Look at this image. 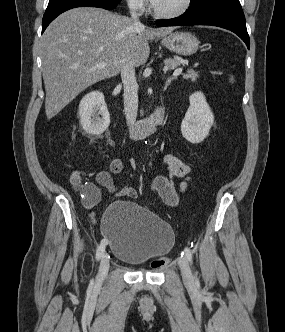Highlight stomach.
Masks as SVG:
<instances>
[{"mask_svg":"<svg viewBox=\"0 0 285 332\" xmlns=\"http://www.w3.org/2000/svg\"><path fill=\"white\" fill-rule=\"evenodd\" d=\"M161 44L170 51L183 56L196 53L199 47L198 39L188 32H175L165 36Z\"/></svg>","mask_w":285,"mask_h":332,"instance_id":"0dacf381","label":"stomach"}]
</instances>
